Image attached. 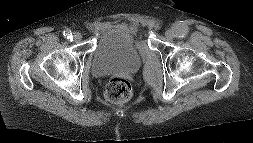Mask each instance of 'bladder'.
Returning a JSON list of instances; mask_svg holds the SVG:
<instances>
[{
  "mask_svg": "<svg viewBox=\"0 0 253 143\" xmlns=\"http://www.w3.org/2000/svg\"><path fill=\"white\" fill-rule=\"evenodd\" d=\"M143 49V40L137 32L122 21H110L94 51L92 73L96 76L116 72L132 74L143 64Z\"/></svg>",
  "mask_w": 253,
  "mask_h": 143,
  "instance_id": "31cf9c89",
  "label": "bladder"
}]
</instances>
